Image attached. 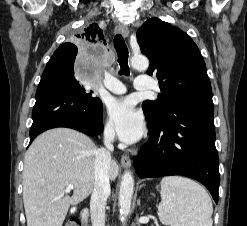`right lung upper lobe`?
I'll return each instance as SVG.
<instances>
[{
  "instance_id": "1",
  "label": "right lung upper lobe",
  "mask_w": 247,
  "mask_h": 226,
  "mask_svg": "<svg viewBox=\"0 0 247 226\" xmlns=\"http://www.w3.org/2000/svg\"><path fill=\"white\" fill-rule=\"evenodd\" d=\"M77 37L83 41L84 44L88 45H98L105 42L104 31L100 28L97 23H91L83 32ZM78 52L77 47L72 43H63L59 48L54 52L53 56L61 57L65 56H76ZM62 58V57H61Z\"/></svg>"
}]
</instances>
